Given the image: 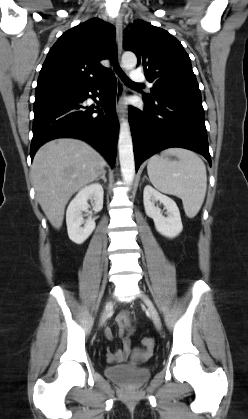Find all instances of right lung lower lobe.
Segmentation results:
<instances>
[{
	"instance_id": "1",
	"label": "right lung lower lobe",
	"mask_w": 248,
	"mask_h": 419,
	"mask_svg": "<svg viewBox=\"0 0 248 419\" xmlns=\"http://www.w3.org/2000/svg\"><path fill=\"white\" fill-rule=\"evenodd\" d=\"M116 90V77L110 71L101 81L77 91L35 95L31 159L45 142L74 137L91 144L113 167L119 128ZM96 96L99 97L97 110L87 108L84 101Z\"/></svg>"
}]
</instances>
